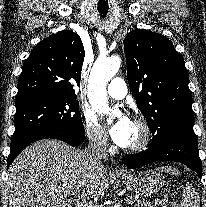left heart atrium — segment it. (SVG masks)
<instances>
[{
	"instance_id": "1",
	"label": "left heart atrium",
	"mask_w": 206,
	"mask_h": 207,
	"mask_svg": "<svg viewBox=\"0 0 206 207\" xmlns=\"http://www.w3.org/2000/svg\"><path fill=\"white\" fill-rule=\"evenodd\" d=\"M133 121L123 116L110 129L112 140L120 147H127L131 140Z\"/></svg>"
}]
</instances>
